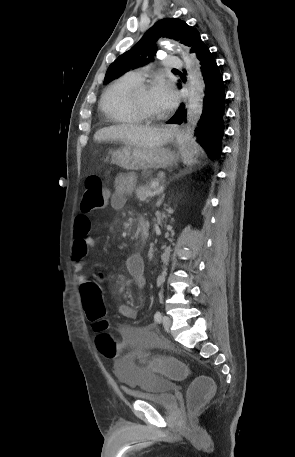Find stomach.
Listing matches in <instances>:
<instances>
[{
  "mask_svg": "<svg viewBox=\"0 0 295 457\" xmlns=\"http://www.w3.org/2000/svg\"><path fill=\"white\" fill-rule=\"evenodd\" d=\"M175 131L168 129L166 143H173ZM111 163L132 170L167 168L176 161V155L169 149L159 146L138 148L125 145L110 152Z\"/></svg>",
  "mask_w": 295,
  "mask_h": 457,
  "instance_id": "stomach-1",
  "label": "stomach"
}]
</instances>
